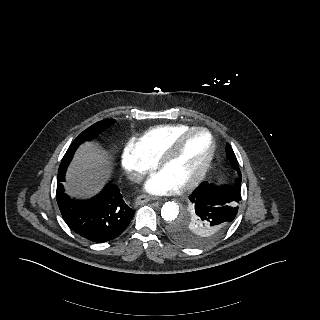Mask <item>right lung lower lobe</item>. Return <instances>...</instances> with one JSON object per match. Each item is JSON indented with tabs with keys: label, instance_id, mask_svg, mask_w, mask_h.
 <instances>
[{
	"label": "right lung lower lobe",
	"instance_id": "98d812e1",
	"mask_svg": "<svg viewBox=\"0 0 320 320\" xmlns=\"http://www.w3.org/2000/svg\"><path fill=\"white\" fill-rule=\"evenodd\" d=\"M64 179H57V203L64 221L74 232L91 242L103 243L127 228L135 210L125 203L117 186L107 184L91 199L75 200L64 193Z\"/></svg>",
	"mask_w": 320,
	"mask_h": 320
}]
</instances>
